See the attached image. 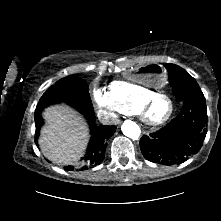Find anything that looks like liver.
<instances>
[{
  "label": "liver",
  "instance_id": "6515ba94",
  "mask_svg": "<svg viewBox=\"0 0 221 221\" xmlns=\"http://www.w3.org/2000/svg\"><path fill=\"white\" fill-rule=\"evenodd\" d=\"M46 125L38 140L43 155L63 165L76 163L88 142V127L71 107L55 105L43 113Z\"/></svg>",
  "mask_w": 221,
  "mask_h": 221
}]
</instances>
